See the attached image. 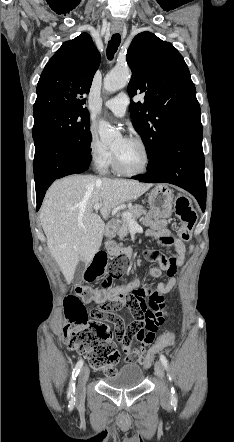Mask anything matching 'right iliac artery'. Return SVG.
<instances>
[{"mask_svg":"<svg viewBox=\"0 0 234 442\" xmlns=\"http://www.w3.org/2000/svg\"><path fill=\"white\" fill-rule=\"evenodd\" d=\"M84 361L81 359L77 362L76 366L73 369L72 372V378L69 385L68 395L71 397V402L74 401V394H75V379L80 372V369L83 366Z\"/></svg>","mask_w":234,"mask_h":442,"instance_id":"82829eb1","label":"right iliac artery"}]
</instances>
